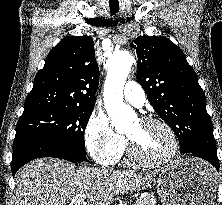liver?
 I'll return each mask as SVG.
<instances>
[{"instance_id":"obj_1","label":"liver","mask_w":222,"mask_h":205,"mask_svg":"<svg viewBox=\"0 0 222 205\" xmlns=\"http://www.w3.org/2000/svg\"><path fill=\"white\" fill-rule=\"evenodd\" d=\"M155 174L83 168L56 158L26 164L15 178V205H110L114 195L139 190Z\"/></svg>"}]
</instances>
